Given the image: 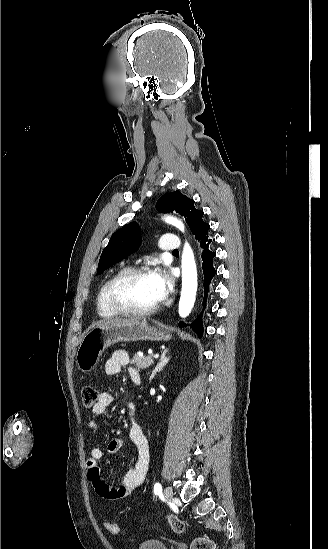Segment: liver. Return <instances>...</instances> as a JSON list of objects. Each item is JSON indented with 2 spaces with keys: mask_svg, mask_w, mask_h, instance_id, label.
Masks as SVG:
<instances>
[{
  "mask_svg": "<svg viewBox=\"0 0 328 549\" xmlns=\"http://www.w3.org/2000/svg\"><path fill=\"white\" fill-rule=\"evenodd\" d=\"M135 323L134 319H109V321H100L98 327H107V325H129Z\"/></svg>",
  "mask_w": 328,
  "mask_h": 549,
  "instance_id": "obj_1",
  "label": "liver"
}]
</instances>
